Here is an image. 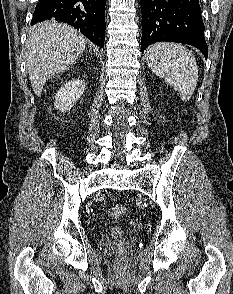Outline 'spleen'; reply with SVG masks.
Listing matches in <instances>:
<instances>
[{"label":"spleen","instance_id":"3e777b00","mask_svg":"<svg viewBox=\"0 0 233 294\" xmlns=\"http://www.w3.org/2000/svg\"><path fill=\"white\" fill-rule=\"evenodd\" d=\"M145 60L156 75L178 91L183 101H189L198 81V67L191 51L176 43H156L147 49Z\"/></svg>","mask_w":233,"mask_h":294}]
</instances>
